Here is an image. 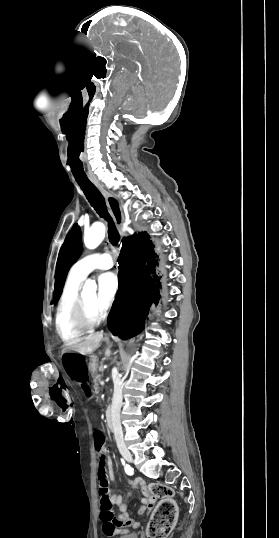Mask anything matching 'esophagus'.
Returning <instances> with one entry per match:
<instances>
[{
  "label": "esophagus",
  "mask_w": 279,
  "mask_h": 538,
  "mask_svg": "<svg viewBox=\"0 0 279 538\" xmlns=\"http://www.w3.org/2000/svg\"><path fill=\"white\" fill-rule=\"evenodd\" d=\"M89 180L92 183H94V185L97 188H99L100 192L104 196L105 201L107 203V206H108V208H109V210L111 212V215L113 217V220L115 222L117 230L119 231V233L122 236H126V233H124L122 231L125 218H124V215H123L122 206H121L120 202L117 200V198L115 196H113V195H111V193L107 192V190H105L100 185V183L98 182V180L95 177L89 176Z\"/></svg>",
  "instance_id": "34e87169"
}]
</instances>
